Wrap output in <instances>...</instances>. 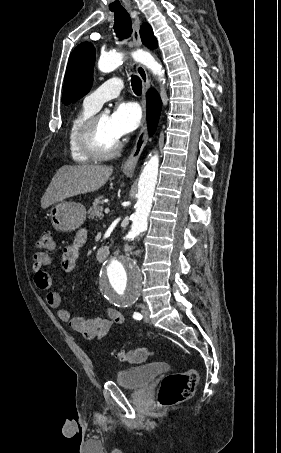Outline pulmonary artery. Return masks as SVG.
I'll list each match as a JSON object with an SVG mask.
<instances>
[{
  "instance_id": "obj_1",
  "label": "pulmonary artery",
  "mask_w": 281,
  "mask_h": 453,
  "mask_svg": "<svg viewBox=\"0 0 281 453\" xmlns=\"http://www.w3.org/2000/svg\"><path fill=\"white\" fill-rule=\"evenodd\" d=\"M113 88L112 90L108 92H101L102 89L104 88ZM123 88V81L122 79L118 77H113L106 82L102 83L97 90H95L92 94H90L87 97V100L89 101V105L93 107L96 110H99L102 105L112 99L115 98L120 94V91Z\"/></svg>"
}]
</instances>
